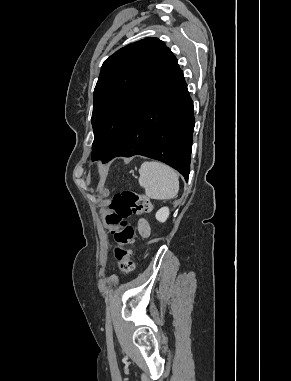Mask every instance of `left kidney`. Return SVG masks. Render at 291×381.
<instances>
[{
	"label": "left kidney",
	"mask_w": 291,
	"mask_h": 381,
	"mask_svg": "<svg viewBox=\"0 0 291 381\" xmlns=\"http://www.w3.org/2000/svg\"><path fill=\"white\" fill-rule=\"evenodd\" d=\"M155 217L159 222H165L167 218L169 217V208L162 207L156 212Z\"/></svg>",
	"instance_id": "left-kidney-1"
}]
</instances>
